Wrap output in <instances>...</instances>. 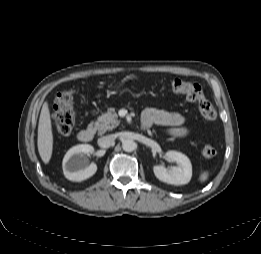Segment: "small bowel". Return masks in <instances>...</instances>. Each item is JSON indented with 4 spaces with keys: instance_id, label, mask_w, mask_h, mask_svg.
Returning <instances> with one entry per match:
<instances>
[{
    "instance_id": "c3829d8e",
    "label": "small bowel",
    "mask_w": 261,
    "mask_h": 254,
    "mask_svg": "<svg viewBox=\"0 0 261 254\" xmlns=\"http://www.w3.org/2000/svg\"><path fill=\"white\" fill-rule=\"evenodd\" d=\"M185 117L176 112L148 108L142 113V126L148 128L152 125H160L166 128L171 136L184 138L188 134L185 127Z\"/></svg>"
}]
</instances>
